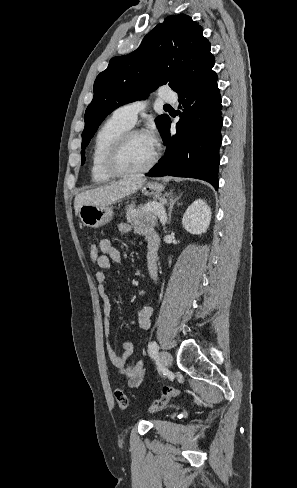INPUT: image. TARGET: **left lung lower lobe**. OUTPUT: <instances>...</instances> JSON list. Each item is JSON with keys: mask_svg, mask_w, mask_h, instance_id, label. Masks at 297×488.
Segmentation results:
<instances>
[{"mask_svg": "<svg viewBox=\"0 0 297 488\" xmlns=\"http://www.w3.org/2000/svg\"><path fill=\"white\" fill-rule=\"evenodd\" d=\"M217 80V74L212 72L188 92L178 95L182 112L176 132L170 133L169 118L162 135L166 153L146 176L197 178L218 189L223 119Z\"/></svg>", "mask_w": 297, "mask_h": 488, "instance_id": "1", "label": "left lung lower lobe"}]
</instances>
